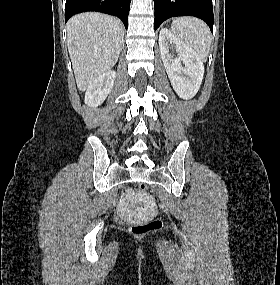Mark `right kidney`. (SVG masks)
I'll return each instance as SVG.
<instances>
[{"label":"right kidney","mask_w":280,"mask_h":285,"mask_svg":"<svg viewBox=\"0 0 280 285\" xmlns=\"http://www.w3.org/2000/svg\"><path fill=\"white\" fill-rule=\"evenodd\" d=\"M115 77L116 72L109 70L94 80L86 90L85 104L90 107L102 104L113 87Z\"/></svg>","instance_id":"right-kidney-1"}]
</instances>
